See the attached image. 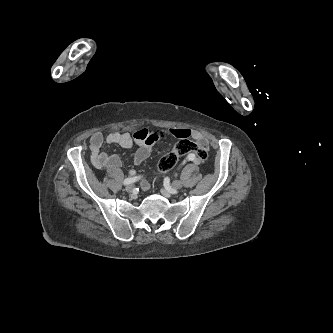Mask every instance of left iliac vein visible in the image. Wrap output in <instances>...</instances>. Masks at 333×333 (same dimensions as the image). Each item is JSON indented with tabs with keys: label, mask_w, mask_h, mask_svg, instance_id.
<instances>
[{
	"label": "left iliac vein",
	"mask_w": 333,
	"mask_h": 333,
	"mask_svg": "<svg viewBox=\"0 0 333 333\" xmlns=\"http://www.w3.org/2000/svg\"><path fill=\"white\" fill-rule=\"evenodd\" d=\"M182 182L181 181H179V180H175V181H173V183H172V187L174 188V189H176V190H178V189H181L182 188Z\"/></svg>",
	"instance_id": "4c4485c4"
}]
</instances>
